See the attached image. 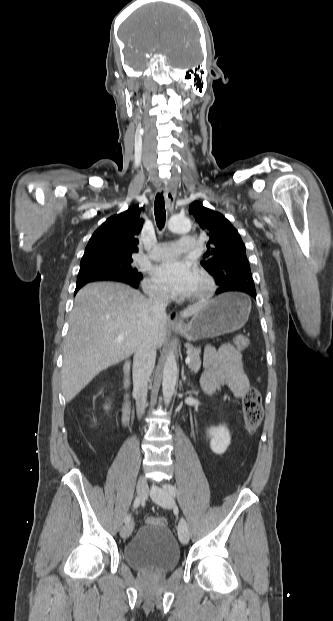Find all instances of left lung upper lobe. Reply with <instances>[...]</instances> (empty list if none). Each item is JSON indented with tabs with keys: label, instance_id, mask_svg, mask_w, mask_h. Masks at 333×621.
Returning <instances> with one entry per match:
<instances>
[{
	"label": "left lung upper lobe",
	"instance_id": "1",
	"mask_svg": "<svg viewBox=\"0 0 333 621\" xmlns=\"http://www.w3.org/2000/svg\"><path fill=\"white\" fill-rule=\"evenodd\" d=\"M189 212L209 237L201 265L219 288L232 283L254 284L245 245L229 220L197 201L190 205Z\"/></svg>",
	"mask_w": 333,
	"mask_h": 621
}]
</instances>
